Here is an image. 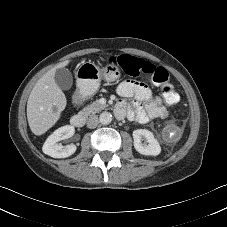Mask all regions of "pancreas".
<instances>
[{"label": "pancreas", "mask_w": 227, "mask_h": 227, "mask_svg": "<svg viewBox=\"0 0 227 227\" xmlns=\"http://www.w3.org/2000/svg\"><path fill=\"white\" fill-rule=\"evenodd\" d=\"M106 107L105 104H102L99 100L92 102L91 104L87 105L83 110L82 114L90 115L98 113L99 111L103 110Z\"/></svg>", "instance_id": "obj_1"}]
</instances>
